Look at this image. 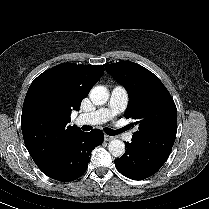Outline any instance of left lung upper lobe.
I'll return each instance as SVG.
<instances>
[{"label": "left lung upper lobe", "mask_w": 209, "mask_h": 209, "mask_svg": "<svg viewBox=\"0 0 209 209\" xmlns=\"http://www.w3.org/2000/svg\"><path fill=\"white\" fill-rule=\"evenodd\" d=\"M105 69L129 94L125 117L138 130L132 138L172 147L177 132V109L170 93L148 69L130 61L105 65Z\"/></svg>", "instance_id": "5c2ea615"}]
</instances>
